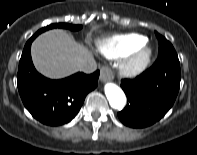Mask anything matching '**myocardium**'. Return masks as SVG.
Wrapping results in <instances>:
<instances>
[{"mask_svg":"<svg viewBox=\"0 0 197 155\" xmlns=\"http://www.w3.org/2000/svg\"><path fill=\"white\" fill-rule=\"evenodd\" d=\"M151 59L152 49L144 43L129 54L122 69L128 74L140 73L150 64Z\"/></svg>","mask_w":197,"mask_h":155,"instance_id":"obj_1","label":"myocardium"}]
</instances>
